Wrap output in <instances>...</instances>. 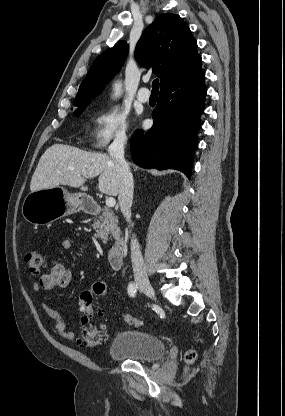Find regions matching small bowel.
<instances>
[{"instance_id": "small-bowel-1", "label": "small bowel", "mask_w": 285, "mask_h": 416, "mask_svg": "<svg viewBox=\"0 0 285 416\" xmlns=\"http://www.w3.org/2000/svg\"><path fill=\"white\" fill-rule=\"evenodd\" d=\"M71 248V242L68 239H63L59 243V249L62 251H67ZM72 270L64 266L59 262H54L50 270L43 274L40 279L33 284V289L35 291L47 290L51 291L56 288H67L72 281ZM41 307L43 311L52 319L55 320V330L56 333L67 340H75L77 336L74 332L69 331L66 326V321L64 316L54 308L50 307L46 303H42Z\"/></svg>"}]
</instances>
